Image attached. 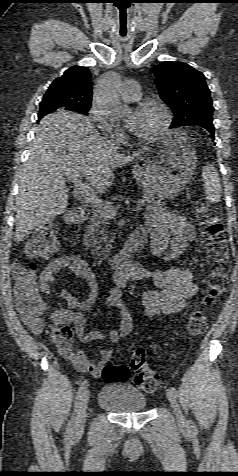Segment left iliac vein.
Masks as SVG:
<instances>
[{"instance_id": "obj_1", "label": "left iliac vein", "mask_w": 238, "mask_h": 476, "mask_svg": "<svg viewBox=\"0 0 238 476\" xmlns=\"http://www.w3.org/2000/svg\"><path fill=\"white\" fill-rule=\"evenodd\" d=\"M166 396H167L171 406L174 409L178 424L180 426H183V427L186 426V420H185V417H184V415H183V413L180 409V406H179V403L176 399V396L171 392L170 389H168L166 391Z\"/></svg>"}]
</instances>
